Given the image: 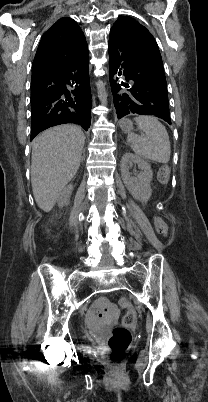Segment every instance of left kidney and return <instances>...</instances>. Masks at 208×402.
<instances>
[{"label":"left kidney","mask_w":208,"mask_h":402,"mask_svg":"<svg viewBox=\"0 0 208 402\" xmlns=\"http://www.w3.org/2000/svg\"><path fill=\"white\" fill-rule=\"evenodd\" d=\"M133 164H138V168L141 170L140 174L131 176L129 170ZM121 176L128 192L135 200H140L144 204L150 200L152 192L150 184L153 172L148 162H145L143 158H139L136 154H130V152L124 154L121 160Z\"/></svg>","instance_id":"obj_1"}]
</instances>
